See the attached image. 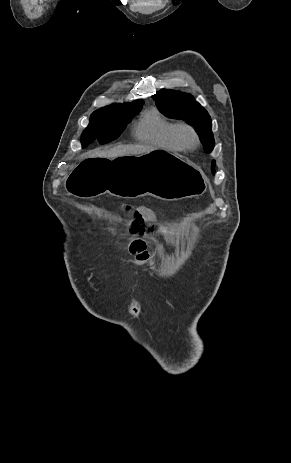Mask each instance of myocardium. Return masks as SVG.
Listing matches in <instances>:
<instances>
[{"label": "myocardium", "instance_id": "f54148a6", "mask_svg": "<svg viewBox=\"0 0 291 463\" xmlns=\"http://www.w3.org/2000/svg\"><path fill=\"white\" fill-rule=\"evenodd\" d=\"M173 136L178 146L185 150H192L199 144V135L196 129L188 123L175 125ZM185 136L189 137V142L185 140Z\"/></svg>", "mask_w": 291, "mask_h": 463}]
</instances>
